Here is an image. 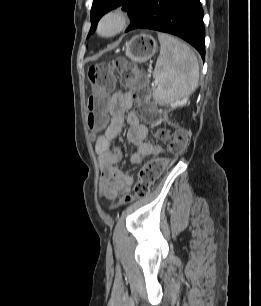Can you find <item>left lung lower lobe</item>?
<instances>
[{
	"label": "left lung lower lobe",
	"mask_w": 261,
	"mask_h": 306,
	"mask_svg": "<svg viewBox=\"0 0 261 306\" xmlns=\"http://www.w3.org/2000/svg\"><path fill=\"white\" fill-rule=\"evenodd\" d=\"M138 28L176 35L205 58L203 9L199 0H145L126 32Z\"/></svg>",
	"instance_id": "left-lung-lower-lobe-1"
}]
</instances>
